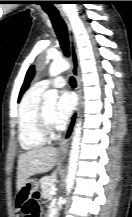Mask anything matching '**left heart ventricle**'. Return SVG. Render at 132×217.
Wrapping results in <instances>:
<instances>
[{
    "label": "left heart ventricle",
    "instance_id": "left-heart-ventricle-1",
    "mask_svg": "<svg viewBox=\"0 0 132 217\" xmlns=\"http://www.w3.org/2000/svg\"><path fill=\"white\" fill-rule=\"evenodd\" d=\"M44 107H45V112H46L47 117L50 120H52V115H53V111L55 108V103L54 102H46L44 104Z\"/></svg>",
    "mask_w": 132,
    "mask_h": 217
}]
</instances>
